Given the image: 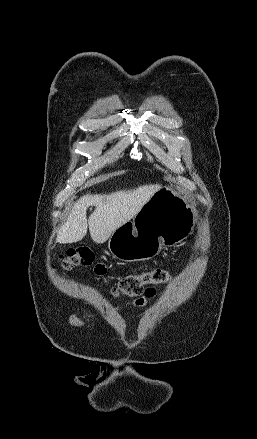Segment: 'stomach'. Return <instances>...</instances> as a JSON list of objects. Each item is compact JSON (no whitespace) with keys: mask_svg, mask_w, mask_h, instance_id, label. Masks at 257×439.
<instances>
[{"mask_svg":"<svg viewBox=\"0 0 257 439\" xmlns=\"http://www.w3.org/2000/svg\"><path fill=\"white\" fill-rule=\"evenodd\" d=\"M196 225V209L172 185L160 187L141 210L110 236L108 248L124 262L149 260L163 245H177Z\"/></svg>","mask_w":257,"mask_h":439,"instance_id":"stomach-1","label":"stomach"}]
</instances>
